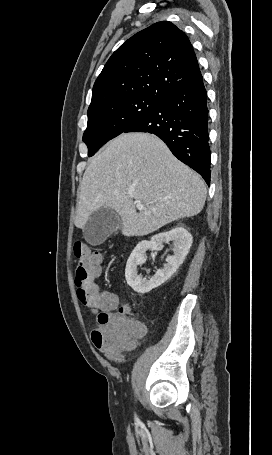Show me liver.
<instances>
[{
	"mask_svg": "<svg viewBox=\"0 0 272 455\" xmlns=\"http://www.w3.org/2000/svg\"><path fill=\"white\" fill-rule=\"evenodd\" d=\"M134 192V197L129 196ZM207 190L201 177L148 133H123L95 155L80 183L75 225L83 229L103 206L121 218L124 236H144L199 214ZM136 202L144 209L137 212Z\"/></svg>",
	"mask_w": 272,
	"mask_h": 455,
	"instance_id": "1",
	"label": "liver"
}]
</instances>
